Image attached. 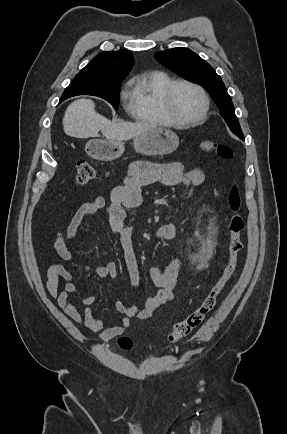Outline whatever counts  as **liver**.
Returning a JSON list of instances; mask_svg holds the SVG:
<instances>
[{
	"instance_id": "obj_1",
	"label": "liver",
	"mask_w": 287,
	"mask_h": 434,
	"mask_svg": "<svg viewBox=\"0 0 287 434\" xmlns=\"http://www.w3.org/2000/svg\"><path fill=\"white\" fill-rule=\"evenodd\" d=\"M154 127L146 122H111L95 111V104L89 99H78L72 102L63 117L64 132L68 136L81 139L98 137L101 131L107 140L123 141Z\"/></svg>"
}]
</instances>
